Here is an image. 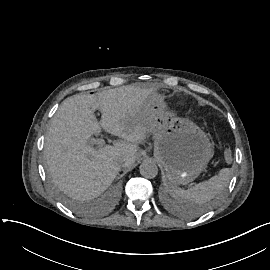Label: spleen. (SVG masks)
<instances>
[{
	"label": "spleen",
	"instance_id": "1",
	"mask_svg": "<svg viewBox=\"0 0 270 270\" xmlns=\"http://www.w3.org/2000/svg\"><path fill=\"white\" fill-rule=\"evenodd\" d=\"M232 171L229 168H223L218 175L211 177L209 180L195 185L189 190L175 188L173 185L166 184L170 195L178 202L185 203L184 208L190 212H195L198 205L204 204L221 193L229 184Z\"/></svg>",
	"mask_w": 270,
	"mask_h": 270
}]
</instances>
